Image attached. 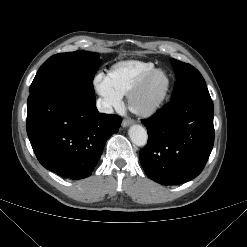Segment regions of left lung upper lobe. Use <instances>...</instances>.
Returning <instances> with one entry per match:
<instances>
[{
	"label": "left lung upper lobe",
	"mask_w": 247,
	"mask_h": 247,
	"mask_svg": "<svg viewBox=\"0 0 247 247\" xmlns=\"http://www.w3.org/2000/svg\"><path fill=\"white\" fill-rule=\"evenodd\" d=\"M176 74V84L171 101L184 97L209 93L200 72L190 64L171 59Z\"/></svg>",
	"instance_id": "1"
}]
</instances>
